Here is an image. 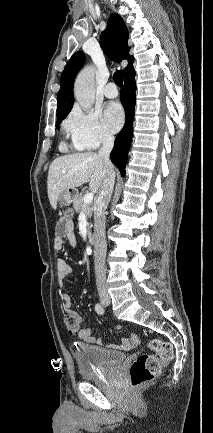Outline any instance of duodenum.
Instances as JSON below:
<instances>
[{"instance_id": "obj_1", "label": "duodenum", "mask_w": 213, "mask_h": 433, "mask_svg": "<svg viewBox=\"0 0 213 433\" xmlns=\"http://www.w3.org/2000/svg\"><path fill=\"white\" fill-rule=\"evenodd\" d=\"M88 241L91 245H94L96 243V238H95L94 234H90L88 236Z\"/></svg>"}]
</instances>
